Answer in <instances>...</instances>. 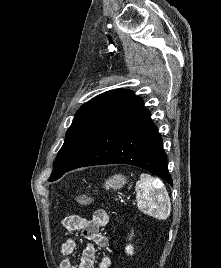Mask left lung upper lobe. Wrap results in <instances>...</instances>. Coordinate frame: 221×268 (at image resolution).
Returning a JSON list of instances; mask_svg holds the SVG:
<instances>
[{
    "label": "left lung upper lobe",
    "instance_id": "5c2ea615",
    "mask_svg": "<svg viewBox=\"0 0 221 268\" xmlns=\"http://www.w3.org/2000/svg\"><path fill=\"white\" fill-rule=\"evenodd\" d=\"M141 105L143 100L125 89L102 93L82 105L67 130L49 181L60 178L111 123Z\"/></svg>",
    "mask_w": 221,
    "mask_h": 268
}]
</instances>
